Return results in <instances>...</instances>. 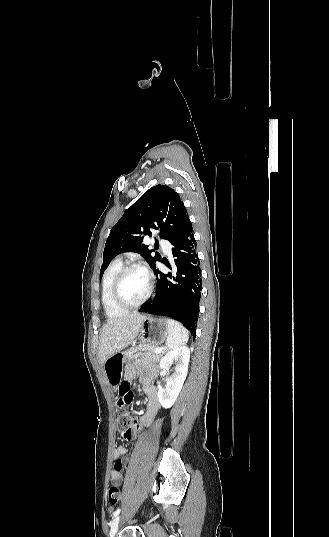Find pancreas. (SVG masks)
Returning <instances> with one entry per match:
<instances>
[{"mask_svg":"<svg viewBox=\"0 0 329 537\" xmlns=\"http://www.w3.org/2000/svg\"><path fill=\"white\" fill-rule=\"evenodd\" d=\"M156 347L153 345H140L133 347L125 352V359L131 361L134 359H141L145 361L157 362L162 357L164 351L157 353Z\"/></svg>","mask_w":329,"mask_h":537,"instance_id":"cf45deb5","label":"pancreas"}]
</instances>
